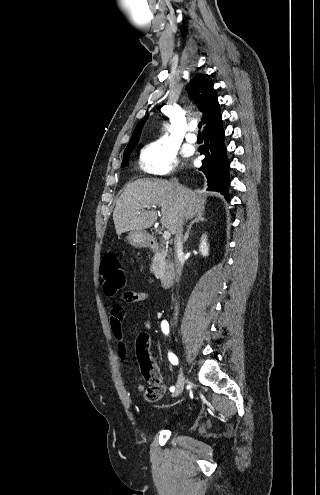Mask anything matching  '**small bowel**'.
I'll use <instances>...</instances> for the list:
<instances>
[{"label": "small bowel", "instance_id": "small-bowel-1", "mask_svg": "<svg viewBox=\"0 0 320 495\" xmlns=\"http://www.w3.org/2000/svg\"><path fill=\"white\" fill-rule=\"evenodd\" d=\"M122 300L126 303H138V302H146L149 300V295L145 292H135V291H126ZM126 317V309L123 305H116L111 309L110 313V327L111 331L117 339L122 338L123 334V321ZM152 325L150 318H146L144 321V326L146 328H150ZM120 350L122 353L125 352V347L121 343ZM141 371L143 376L149 382V378L153 375H160L159 369L152 363L151 367H145L141 363ZM134 388L137 391H143L144 385L142 383H135Z\"/></svg>", "mask_w": 320, "mask_h": 495}]
</instances>
